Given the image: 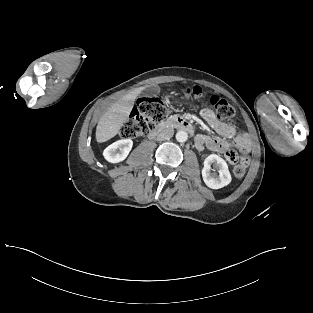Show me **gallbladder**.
<instances>
[{
	"label": "gallbladder",
	"instance_id": "bac80fb5",
	"mask_svg": "<svg viewBox=\"0 0 313 313\" xmlns=\"http://www.w3.org/2000/svg\"><path fill=\"white\" fill-rule=\"evenodd\" d=\"M147 91L153 93V92L157 91V87L156 86L150 87L147 89Z\"/></svg>",
	"mask_w": 313,
	"mask_h": 313
}]
</instances>
